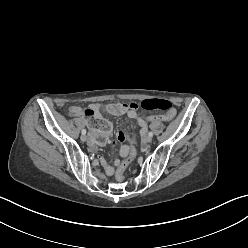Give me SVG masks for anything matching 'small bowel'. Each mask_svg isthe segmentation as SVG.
I'll use <instances>...</instances> for the list:
<instances>
[{
	"label": "small bowel",
	"mask_w": 248,
	"mask_h": 248,
	"mask_svg": "<svg viewBox=\"0 0 248 248\" xmlns=\"http://www.w3.org/2000/svg\"><path fill=\"white\" fill-rule=\"evenodd\" d=\"M110 105H103V104H99V103H94L91 104L89 109H91L94 112V116L96 118H103V113H110L113 115H126L127 117L134 119L137 124L141 127V131H140V135L141 136H145L146 132H147V128H148V124H150L147 120H145L143 118V116H139L137 114V112L135 111V107L131 106V107H127L124 109V111L121 114H115L113 112L110 111L109 109ZM69 115L72 117H83L84 115V109L80 106H72L69 109ZM86 124L88 126H91L89 122H86ZM128 136L123 133V132H118L114 138H112L110 140L111 144H116L117 142H124L126 140H128ZM96 143L94 142L93 145H95ZM127 150H128V146L127 145H123L120 149V155L121 156H126L127 155ZM120 163L119 160L115 161V164L118 165ZM102 164L104 167V171L107 175H112L114 173V168L111 164H108L105 162V160H102Z\"/></svg>",
	"instance_id": "c3829d8e"
}]
</instances>
